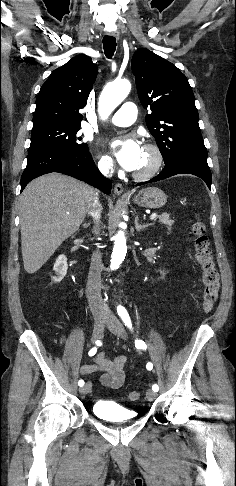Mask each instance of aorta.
I'll list each match as a JSON object with an SVG mask.
<instances>
[{
  "label": "aorta",
  "mask_w": 236,
  "mask_h": 486,
  "mask_svg": "<svg viewBox=\"0 0 236 486\" xmlns=\"http://www.w3.org/2000/svg\"><path fill=\"white\" fill-rule=\"evenodd\" d=\"M131 84L128 80L109 83L100 96V112L103 117L108 116L129 94ZM120 227L123 223H120ZM127 252L126 237L122 230L114 236V248L111 256V270H116L123 262Z\"/></svg>",
  "instance_id": "762f6f07"
}]
</instances>
